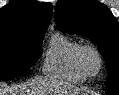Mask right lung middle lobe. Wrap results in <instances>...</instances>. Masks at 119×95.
<instances>
[{"label": "right lung middle lobe", "mask_w": 119, "mask_h": 95, "mask_svg": "<svg viewBox=\"0 0 119 95\" xmlns=\"http://www.w3.org/2000/svg\"><path fill=\"white\" fill-rule=\"evenodd\" d=\"M46 30L15 31L0 35V81L27 72L41 56Z\"/></svg>", "instance_id": "1"}]
</instances>
